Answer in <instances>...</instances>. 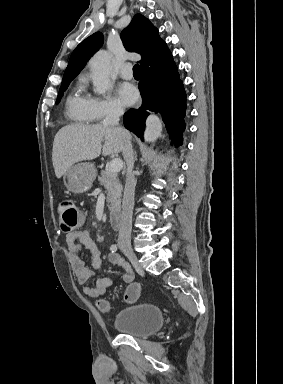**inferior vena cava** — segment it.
Listing matches in <instances>:
<instances>
[{
	"instance_id": "obj_1",
	"label": "inferior vena cava",
	"mask_w": 283,
	"mask_h": 384,
	"mask_svg": "<svg viewBox=\"0 0 283 384\" xmlns=\"http://www.w3.org/2000/svg\"><path fill=\"white\" fill-rule=\"evenodd\" d=\"M124 108L121 104H109L107 108V114L102 124L104 126H119V118L123 116ZM123 136V156L127 164V178L124 188V196L122 202V212L120 220V230L118 236L119 248H130L131 246V228H132V216L134 208V196H135V176L133 174L134 168V154L132 150V144L130 142L131 136L124 128H118Z\"/></svg>"
}]
</instances>
